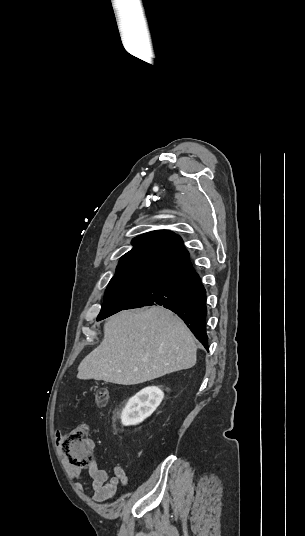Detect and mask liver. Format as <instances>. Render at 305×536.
<instances>
[{"instance_id": "6515ba94", "label": "liver", "mask_w": 305, "mask_h": 536, "mask_svg": "<svg viewBox=\"0 0 305 536\" xmlns=\"http://www.w3.org/2000/svg\"><path fill=\"white\" fill-rule=\"evenodd\" d=\"M196 350L190 330L170 310H127L104 324V340L79 364L77 378L142 384L193 368Z\"/></svg>"}]
</instances>
